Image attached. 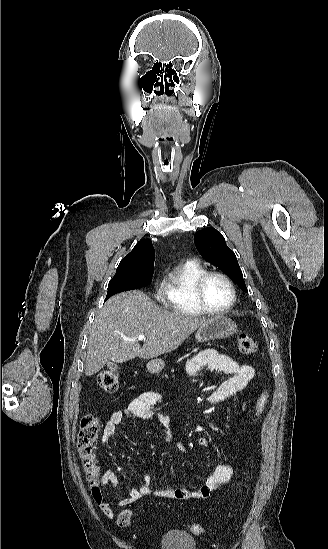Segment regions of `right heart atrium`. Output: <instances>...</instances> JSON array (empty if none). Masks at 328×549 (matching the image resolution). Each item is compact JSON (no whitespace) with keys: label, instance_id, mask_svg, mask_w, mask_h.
Wrapping results in <instances>:
<instances>
[{"label":"right heart atrium","instance_id":"right-heart-atrium-1","mask_svg":"<svg viewBox=\"0 0 328 549\" xmlns=\"http://www.w3.org/2000/svg\"><path fill=\"white\" fill-rule=\"evenodd\" d=\"M162 286V278L161 276H157L155 280V293L158 294Z\"/></svg>","mask_w":328,"mask_h":549}]
</instances>
